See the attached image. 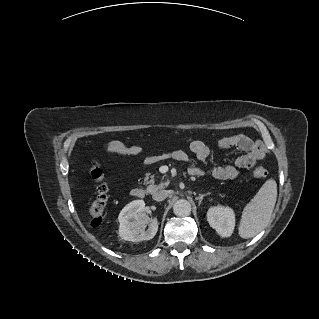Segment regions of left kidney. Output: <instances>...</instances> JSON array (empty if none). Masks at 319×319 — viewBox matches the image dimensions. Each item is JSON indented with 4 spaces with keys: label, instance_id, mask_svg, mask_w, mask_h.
<instances>
[{
    "label": "left kidney",
    "instance_id": "1",
    "mask_svg": "<svg viewBox=\"0 0 319 319\" xmlns=\"http://www.w3.org/2000/svg\"><path fill=\"white\" fill-rule=\"evenodd\" d=\"M207 221L222 237L232 235L235 227V213L230 207L217 205L210 207L207 212Z\"/></svg>",
    "mask_w": 319,
    "mask_h": 319
}]
</instances>
